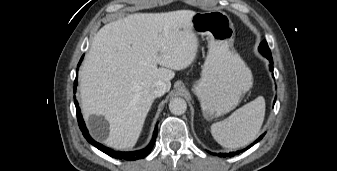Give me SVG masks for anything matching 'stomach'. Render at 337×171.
Wrapping results in <instances>:
<instances>
[{"label": "stomach", "instance_id": "stomach-1", "mask_svg": "<svg viewBox=\"0 0 337 171\" xmlns=\"http://www.w3.org/2000/svg\"><path fill=\"white\" fill-rule=\"evenodd\" d=\"M195 35L206 37L208 54L193 91L206 120L235 109L253 85L251 70L234 51L235 30L222 11L198 12L191 20Z\"/></svg>", "mask_w": 337, "mask_h": 171}]
</instances>
